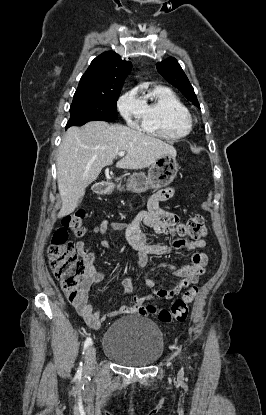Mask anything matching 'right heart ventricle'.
<instances>
[{"mask_svg": "<svg viewBox=\"0 0 266 415\" xmlns=\"http://www.w3.org/2000/svg\"><path fill=\"white\" fill-rule=\"evenodd\" d=\"M142 129L160 138L179 139L192 129L189 110L170 88L156 86L142 99Z\"/></svg>", "mask_w": 266, "mask_h": 415, "instance_id": "1", "label": "right heart ventricle"}]
</instances>
